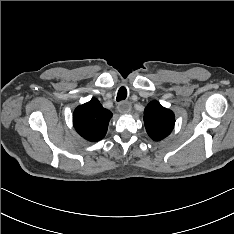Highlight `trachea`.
Here are the masks:
<instances>
[{
  "label": "trachea",
  "instance_id": "trachea-1",
  "mask_svg": "<svg viewBox=\"0 0 234 234\" xmlns=\"http://www.w3.org/2000/svg\"><path fill=\"white\" fill-rule=\"evenodd\" d=\"M126 97H127V90L124 86H122L118 90L116 100L119 102V101L125 100Z\"/></svg>",
  "mask_w": 234,
  "mask_h": 234
}]
</instances>
